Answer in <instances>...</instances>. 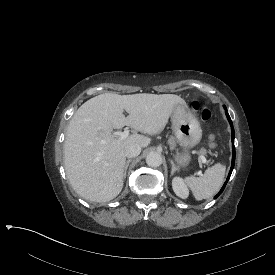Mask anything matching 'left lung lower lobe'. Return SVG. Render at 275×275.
I'll list each match as a JSON object with an SVG mask.
<instances>
[{
    "mask_svg": "<svg viewBox=\"0 0 275 275\" xmlns=\"http://www.w3.org/2000/svg\"><path fill=\"white\" fill-rule=\"evenodd\" d=\"M224 109H225V113H226V116H227V118H228V121H229V123H230V125H231V131H232V150H233V154H232V164H231V169H230V172H229V175H228V177H227L226 182L224 183V185H223V187L221 188L220 192H219L214 198H217V197L223 192V190H224V188H225V186H226V184H227V182H228V180H229V178H230V175H231V173H232V170H233V168H234V163H235L234 128H233V124H232L231 118H230V116H229V114H228L227 109H226L225 106H224Z\"/></svg>",
    "mask_w": 275,
    "mask_h": 275,
    "instance_id": "0a47b994",
    "label": "left lung lower lobe"
}]
</instances>
